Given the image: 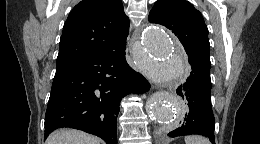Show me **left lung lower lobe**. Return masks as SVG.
Wrapping results in <instances>:
<instances>
[{
	"label": "left lung lower lobe",
	"mask_w": 260,
	"mask_h": 144,
	"mask_svg": "<svg viewBox=\"0 0 260 144\" xmlns=\"http://www.w3.org/2000/svg\"><path fill=\"white\" fill-rule=\"evenodd\" d=\"M192 71L187 81L177 89L186 105V114L179 126L168 133L170 137L199 134L214 143L215 120L211 105L210 65L189 59Z\"/></svg>",
	"instance_id": "obj_1"
}]
</instances>
